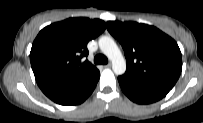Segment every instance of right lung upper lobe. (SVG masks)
I'll use <instances>...</instances> for the list:
<instances>
[{"label": "right lung upper lobe", "mask_w": 203, "mask_h": 123, "mask_svg": "<svg viewBox=\"0 0 203 123\" xmlns=\"http://www.w3.org/2000/svg\"><path fill=\"white\" fill-rule=\"evenodd\" d=\"M106 28L99 19L69 18L43 28L35 38L30 62L38 86L74 78H85L98 72L87 60V43Z\"/></svg>", "instance_id": "obj_1"}]
</instances>
